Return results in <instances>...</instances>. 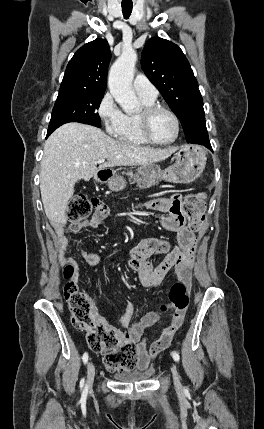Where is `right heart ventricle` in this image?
<instances>
[{"instance_id": "e07e8e85", "label": "right heart ventricle", "mask_w": 264, "mask_h": 429, "mask_svg": "<svg viewBox=\"0 0 264 429\" xmlns=\"http://www.w3.org/2000/svg\"><path fill=\"white\" fill-rule=\"evenodd\" d=\"M143 106L155 104L156 99H149L139 96ZM118 140L127 144L146 145L149 142L142 136L137 115L125 114L123 125L120 131L115 135Z\"/></svg>"}]
</instances>
